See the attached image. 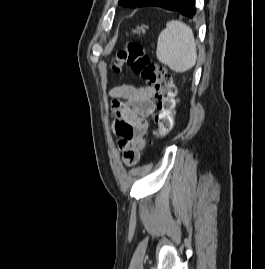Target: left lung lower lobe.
<instances>
[{
  "label": "left lung lower lobe",
  "instance_id": "1",
  "mask_svg": "<svg viewBox=\"0 0 265 269\" xmlns=\"http://www.w3.org/2000/svg\"><path fill=\"white\" fill-rule=\"evenodd\" d=\"M156 6L181 13L192 18L196 14L194 0H144L138 7Z\"/></svg>",
  "mask_w": 265,
  "mask_h": 269
}]
</instances>
